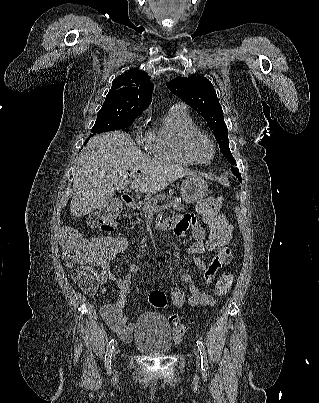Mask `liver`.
I'll use <instances>...</instances> for the list:
<instances>
[{
	"label": "liver",
	"instance_id": "1",
	"mask_svg": "<svg viewBox=\"0 0 319 403\" xmlns=\"http://www.w3.org/2000/svg\"><path fill=\"white\" fill-rule=\"evenodd\" d=\"M140 171L130 189L145 193L162 191L185 176H196L176 164L149 158L123 131L93 136L80 154L73 182L71 215L82 217L104 205L129 185L128 175Z\"/></svg>",
	"mask_w": 319,
	"mask_h": 403
}]
</instances>
